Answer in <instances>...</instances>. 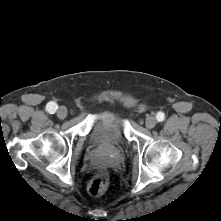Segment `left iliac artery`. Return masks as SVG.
I'll return each instance as SVG.
<instances>
[{
	"instance_id": "44dca946",
	"label": "left iliac artery",
	"mask_w": 221,
	"mask_h": 221,
	"mask_svg": "<svg viewBox=\"0 0 221 221\" xmlns=\"http://www.w3.org/2000/svg\"><path fill=\"white\" fill-rule=\"evenodd\" d=\"M156 119L159 122H162L165 119V114L163 112H158L157 115H156Z\"/></svg>"
}]
</instances>
